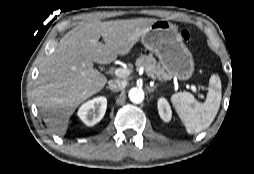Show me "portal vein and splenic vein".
<instances>
[{
	"label": "portal vein and splenic vein",
	"instance_id": "obj_1",
	"mask_svg": "<svg viewBox=\"0 0 254 174\" xmlns=\"http://www.w3.org/2000/svg\"><path fill=\"white\" fill-rule=\"evenodd\" d=\"M114 75L119 78H125L130 75V70L125 68H117L114 70ZM192 91L196 94L197 89L195 86H191Z\"/></svg>",
	"mask_w": 254,
	"mask_h": 174
}]
</instances>
